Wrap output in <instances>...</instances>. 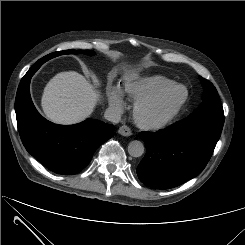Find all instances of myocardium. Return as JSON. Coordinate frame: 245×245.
Instances as JSON below:
<instances>
[{
  "mask_svg": "<svg viewBox=\"0 0 245 245\" xmlns=\"http://www.w3.org/2000/svg\"><path fill=\"white\" fill-rule=\"evenodd\" d=\"M176 90L181 91V96L170 112L155 120L146 117V112L150 107L162 102L168 95ZM188 98L189 93L187 88L182 84L173 83L158 93L143 97L136 101L133 108L134 120L139 127L145 130H160L171 124L180 115L186 106Z\"/></svg>",
  "mask_w": 245,
  "mask_h": 245,
  "instance_id": "1",
  "label": "myocardium"
}]
</instances>
